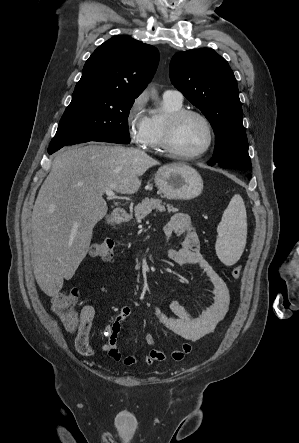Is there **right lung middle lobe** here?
I'll return each mask as SVG.
<instances>
[{
  "label": "right lung middle lobe",
  "mask_w": 299,
  "mask_h": 443,
  "mask_svg": "<svg viewBox=\"0 0 299 443\" xmlns=\"http://www.w3.org/2000/svg\"><path fill=\"white\" fill-rule=\"evenodd\" d=\"M133 103L134 98L110 92H74L49 147H63L94 137H112L128 144V116Z\"/></svg>",
  "instance_id": "right-lung-middle-lobe-1"
}]
</instances>
